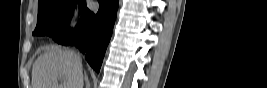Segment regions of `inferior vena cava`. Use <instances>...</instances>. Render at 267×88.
Here are the masks:
<instances>
[{
  "label": "inferior vena cava",
  "mask_w": 267,
  "mask_h": 88,
  "mask_svg": "<svg viewBox=\"0 0 267 88\" xmlns=\"http://www.w3.org/2000/svg\"><path fill=\"white\" fill-rule=\"evenodd\" d=\"M80 88H82L83 87V83H81V86H79Z\"/></svg>",
  "instance_id": "1"
}]
</instances>
